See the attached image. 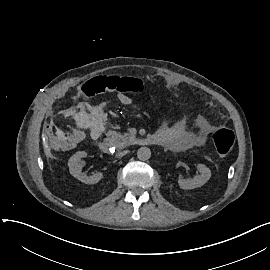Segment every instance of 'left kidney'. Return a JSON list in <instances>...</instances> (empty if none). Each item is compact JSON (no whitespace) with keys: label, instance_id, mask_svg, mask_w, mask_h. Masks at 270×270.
I'll return each mask as SVG.
<instances>
[{"label":"left kidney","instance_id":"left-kidney-1","mask_svg":"<svg viewBox=\"0 0 270 270\" xmlns=\"http://www.w3.org/2000/svg\"><path fill=\"white\" fill-rule=\"evenodd\" d=\"M200 175L192 179H182L178 181L179 187L185 190H191L203 186L210 178L211 171L204 164H199Z\"/></svg>","mask_w":270,"mask_h":270}]
</instances>
